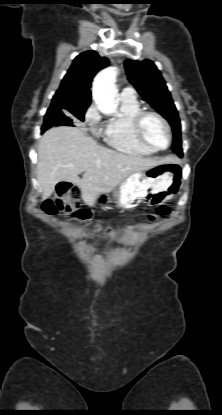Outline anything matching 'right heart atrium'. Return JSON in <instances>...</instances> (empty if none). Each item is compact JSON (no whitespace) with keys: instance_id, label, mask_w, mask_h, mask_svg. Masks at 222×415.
Instances as JSON below:
<instances>
[{"instance_id":"1","label":"right heart atrium","mask_w":222,"mask_h":415,"mask_svg":"<svg viewBox=\"0 0 222 415\" xmlns=\"http://www.w3.org/2000/svg\"><path fill=\"white\" fill-rule=\"evenodd\" d=\"M84 123L92 130L95 131L101 121V115L96 105H90L84 115H83Z\"/></svg>"}]
</instances>
